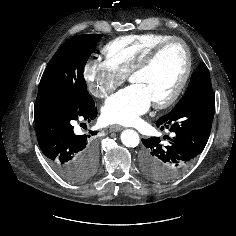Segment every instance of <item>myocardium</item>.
Instances as JSON below:
<instances>
[{"instance_id":"myocardium-1","label":"myocardium","mask_w":236,"mask_h":236,"mask_svg":"<svg viewBox=\"0 0 236 236\" xmlns=\"http://www.w3.org/2000/svg\"><path fill=\"white\" fill-rule=\"evenodd\" d=\"M174 43H178L183 48L184 55H185L184 72H183L179 82L177 83V85L173 89V91L166 98L153 102V106L157 109H164V108H167V107L171 106L179 98V96L181 95L182 91L184 90V88H185V86H186V84L189 80L191 70H192V59H191V54H190L189 47L186 44V42L183 39L179 38V37H171L169 39H166V40L160 42L159 44L154 46L145 55V57H143L131 69V71L128 74V78L130 80L134 75L139 74V73L147 70L155 62V60L160 55V53L166 47H168L169 45L174 44Z\"/></svg>"}]
</instances>
